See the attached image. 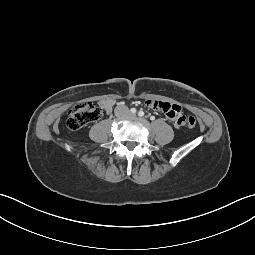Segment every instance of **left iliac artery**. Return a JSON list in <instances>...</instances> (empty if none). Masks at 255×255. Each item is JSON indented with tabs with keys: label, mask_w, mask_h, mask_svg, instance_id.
I'll return each mask as SVG.
<instances>
[{
	"label": "left iliac artery",
	"mask_w": 255,
	"mask_h": 255,
	"mask_svg": "<svg viewBox=\"0 0 255 255\" xmlns=\"http://www.w3.org/2000/svg\"><path fill=\"white\" fill-rule=\"evenodd\" d=\"M138 115H139L140 117H142V116H144V112H143L142 110H140V111L138 112Z\"/></svg>",
	"instance_id": "obj_1"
}]
</instances>
